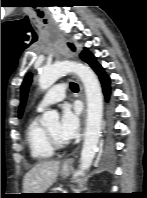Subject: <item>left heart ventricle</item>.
<instances>
[{
    "mask_svg": "<svg viewBox=\"0 0 147 198\" xmlns=\"http://www.w3.org/2000/svg\"><path fill=\"white\" fill-rule=\"evenodd\" d=\"M58 123H54L47 127L48 132L52 135V137L57 141L62 143V141L58 138L57 135Z\"/></svg>",
    "mask_w": 147,
    "mask_h": 198,
    "instance_id": "left-heart-ventricle-1",
    "label": "left heart ventricle"
}]
</instances>
